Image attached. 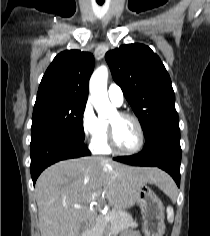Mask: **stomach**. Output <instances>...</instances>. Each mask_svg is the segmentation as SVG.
Wrapping results in <instances>:
<instances>
[{
	"mask_svg": "<svg viewBox=\"0 0 210 236\" xmlns=\"http://www.w3.org/2000/svg\"><path fill=\"white\" fill-rule=\"evenodd\" d=\"M135 202L143 216V233L145 236H163L165 231L164 207L157 195L146 185L140 186Z\"/></svg>",
	"mask_w": 210,
	"mask_h": 236,
	"instance_id": "0dacf381",
	"label": "stomach"
}]
</instances>
